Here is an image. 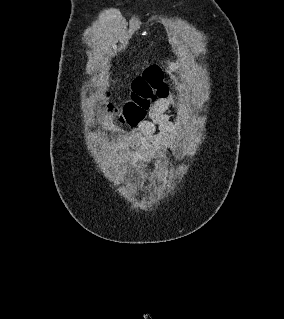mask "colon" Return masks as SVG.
<instances>
[{"label":"colon","mask_w":284,"mask_h":319,"mask_svg":"<svg viewBox=\"0 0 284 319\" xmlns=\"http://www.w3.org/2000/svg\"><path fill=\"white\" fill-rule=\"evenodd\" d=\"M165 73L166 67L164 66L148 68L142 76L133 81L128 102L121 109H116L112 104H108V112L115 114L123 125H138L146 118L157 99L168 96L169 85L165 81Z\"/></svg>","instance_id":"5ec220e1"}]
</instances>
